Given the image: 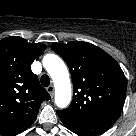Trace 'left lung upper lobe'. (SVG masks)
<instances>
[{"label":"left lung upper lobe","instance_id":"1","mask_svg":"<svg viewBox=\"0 0 136 136\" xmlns=\"http://www.w3.org/2000/svg\"><path fill=\"white\" fill-rule=\"evenodd\" d=\"M52 48L67 63L74 88L73 101L57 111L59 118L72 123H115L126 97V78L118 63L88 42L54 43Z\"/></svg>","mask_w":136,"mask_h":136}]
</instances>
